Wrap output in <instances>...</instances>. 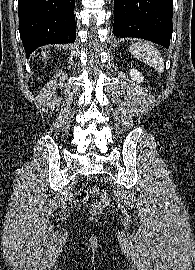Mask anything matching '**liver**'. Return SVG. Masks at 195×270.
<instances>
[{"mask_svg":"<svg viewBox=\"0 0 195 270\" xmlns=\"http://www.w3.org/2000/svg\"><path fill=\"white\" fill-rule=\"evenodd\" d=\"M42 56H43L44 58H46V54H45L44 52H42Z\"/></svg>","mask_w":195,"mask_h":270,"instance_id":"obj_1","label":"liver"}]
</instances>
